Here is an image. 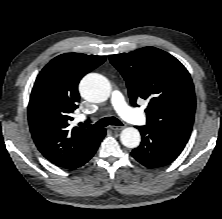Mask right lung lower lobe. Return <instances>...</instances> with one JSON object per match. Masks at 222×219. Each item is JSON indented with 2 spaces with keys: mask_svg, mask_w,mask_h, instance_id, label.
Wrapping results in <instances>:
<instances>
[{
  "mask_svg": "<svg viewBox=\"0 0 222 219\" xmlns=\"http://www.w3.org/2000/svg\"><path fill=\"white\" fill-rule=\"evenodd\" d=\"M106 135L105 129H100L94 140L90 143V145L87 147V149L84 151V153L73 163L69 169H76L82 165H84L86 162H88L93 155L95 154L96 150L98 149L100 142Z\"/></svg>",
  "mask_w": 222,
  "mask_h": 219,
  "instance_id": "98d812e1",
  "label": "right lung lower lobe"
}]
</instances>
